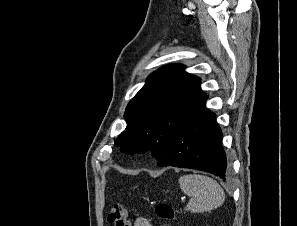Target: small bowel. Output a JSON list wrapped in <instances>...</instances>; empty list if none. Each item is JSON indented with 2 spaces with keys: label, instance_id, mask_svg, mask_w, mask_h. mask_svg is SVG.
<instances>
[{
  "label": "small bowel",
  "instance_id": "small-bowel-1",
  "mask_svg": "<svg viewBox=\"0 0 297 226\" xmlns=\"http://www.w3.org/2000/svg\"><path fill=\"white\" fill-rule=\"evenodd\" d=\"M134 226H152V225L147 219L140 217L135 221Z\"/></svg>",
  "mask_w": 297,
  "mask_h": 226
}]
</instances>
